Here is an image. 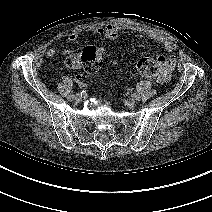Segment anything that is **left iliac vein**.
Segmentation results:
<instances>
[{"instance_id":"obj_1","label":"left iliac vein","mask_w":212,"mask_h":212,"mask_svg":"<svg viewBox=\"0 0 212 212\" xmlns=\"http://www.w3.org/2000/svg\"><path fill=\"white\" fill-rule=\"evenodd\" d=\"M125 105L131 109L134 108L135 107V99L126 100Z\"/></svg>"}]
</instances>
